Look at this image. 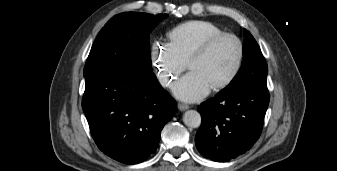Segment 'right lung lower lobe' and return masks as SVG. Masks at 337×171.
<instances>
[{
  "label": "right lung lower lobe",
  "mask_w": 337,
  "mask_h": 171,
  "mask_svg": "<svg viewBox=\"0 0 337 171\" xmlns=\"http://www.w3.org/2000/svg\"><path fill=\"white\" fill-rule=\"evenodd\" d=\"M85 82L82 108L98 148L125 164L150 157L177 109L155 75L106 67L85 75Z\"/></svg>",
  "instance_id": "right-lung-lower-lobe-1"
}]
</instances>
